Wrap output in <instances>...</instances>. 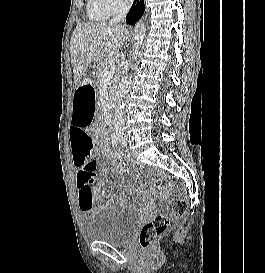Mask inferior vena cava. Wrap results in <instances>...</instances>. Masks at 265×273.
I'll list each match as a JSON object with an SVG mask.
<instances>
[{
	"instance_id": "602c4592",
	"label": "inferior vena cava",
	"mask_w": 265,
	"mask_h": 273,
	"mask_svg": "<svg viewBox=\"0 0 265 273\" xmlns=\"http://www.w3.org/2000/svg\"><path fill=\"white\" fill-rule=\"evenodd\" d=\"M132 2H133V0H122L121 4L119 6L118 14L116 15V17H114L110 21V23L116 24V23L122 21L126 17L128 11L132 5Z\"/></svg>"
}]
</instances>
